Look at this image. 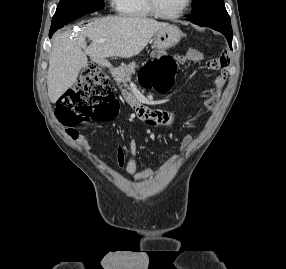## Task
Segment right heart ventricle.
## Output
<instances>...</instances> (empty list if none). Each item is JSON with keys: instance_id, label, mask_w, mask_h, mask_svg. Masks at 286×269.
Here are the masks:
<instances>
[{"instance_id": "right-heart-ventricle-1", "label": "right heart ventricle", "mask_w": 286, "mask_h": 269, "mask_svg": "<svg viewBox=\"0 0 286 269\" xmlns=\"http://www.w3.org/2000/svg\"><path fill=\"white\" fill-rule=\"evenodd\" d=\"M118 13L122 16L135 19L152 17L145 0H115Z\"/></svg>"}]
</instances>
